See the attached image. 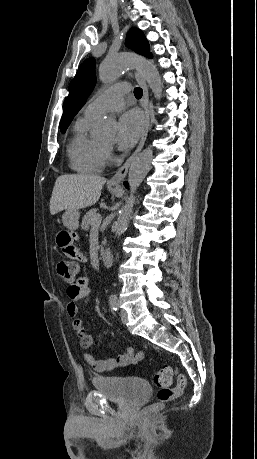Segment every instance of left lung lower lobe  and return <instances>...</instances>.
Returning a JSON list of instances; mask_svg holds the SVG:
<instances>
[{"instance_id": "1", "label": "left lung lower lobe", "mask_w": 257, "mask_h": 459, "mask_svg": "<svg viewBox=\"0 0 257 459\" xmlns=\"http://www.w3.org/2000/svg\"><path fill=\"white\" fill-rule=\"evenodd\" d=\"M124 185H125L126 188H128V183L127 182H125Z\"/></svg>"}]
</instances>
